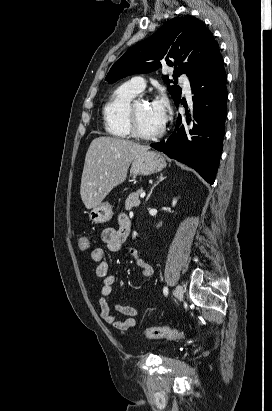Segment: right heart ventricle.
I'll use <instances>...</instances> for the list:
<instances>
[{"label": "right heart ventricle", "mask_w": 272, "mask_h": 411, "mask_svg": "<svg viewBox=\"0 0 272 411\" xmlns=\"http://www.w3.org/2000/svg\"><path fill=\"white\" fill-rule=\"evenodd\" d=\"M139 92L130 83L118 86L103 106L102 114L106 131L119 138L130 137L127 109Z\"/></svg>", "instance_id": "1"}]
</instances>
